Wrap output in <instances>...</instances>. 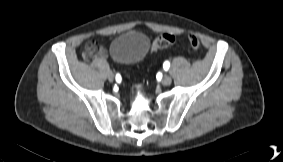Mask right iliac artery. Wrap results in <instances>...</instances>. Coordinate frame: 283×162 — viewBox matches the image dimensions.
<instances>
[{
    "label": "right iliac artery",
    "mask_w": 283,
    "mask_h": 162,
    "mask_svg": "<svg viewBox=\"0 0 283 162\" xmlns=\"http://www.w3.org/2000/svg\"><path fill=\"white\" fill-rule=\"evenodd\" d=\"M116 75L117 83H121V72L119 70L116 72Z\"/></svg>",
    "instance_id": "1"
}]
</instances>
